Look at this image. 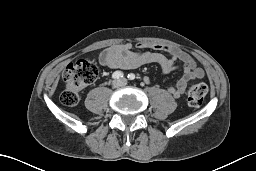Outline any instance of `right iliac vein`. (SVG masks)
Instances as JSON below:
<instances>
[{
  "instance_id": "1",
  "label": "right iliac vein",
  "mask_w": 256,
  "mask_h": 171,
  "mask_svg": "<svg viewBox=\"0 0 256 171\" xmlns=\"http://www.w3.org/2000/svg\"><path fill=\"white\" fill-rule=\"evenodd\" d=\"M120 84H121V81H114L113 82V86L116 87V88L119 87Z\"/></svg>"
}]
</instances>
